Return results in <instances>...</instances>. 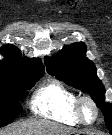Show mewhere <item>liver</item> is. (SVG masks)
I'll use <instances>...</instances> for the list:
<instances>
[{
  "label": "liver",
  "instance_id": "liver-1",
  "mask_svg": "<svg viewBox=\"0 0 112 135\" xmlns=\"http://www.w3.org/2000/svg\"><path fill=\"white\" fill-rule=\"evenodd\" d=\"M70 130L45 120H27L0 135H69Z\"/></svg>",
  "mask_w": 112,
  "mask_h": 135
}]
</instances>
